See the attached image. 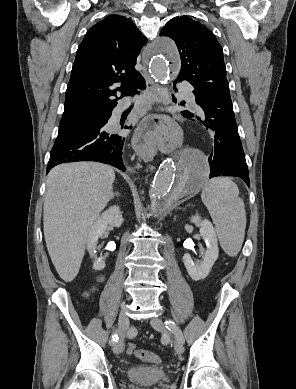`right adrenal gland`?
Here are the masks:
<instances>
[{
	"label": "right adrenal gland",
	"instance_id": "right-adrenal-gland-1",
	"mask_svg": "<svg viewBox=\"0 0 296 389\" xmlns=\"http://www.w3.org/2000/svg\"><path fill=\"white\" fill-rule=\"evenodd\" d=\"M119 196H120V194H119L118 192H114V193L112 194L111 199H114L115 197H119Z\"/></svg>",
	"mask_w": 296,
	"mask_h": 389
}]
</instances>
